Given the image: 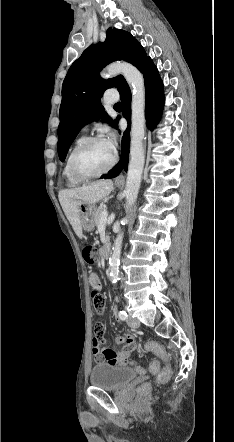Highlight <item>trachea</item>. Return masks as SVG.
Wrapping results in <instances>:
<instances>
[{"mask_svg":"<svg viewBox=\"0 0 234 442\" xmlns=\"http://www.w3.org/2000/svg\"><path fill=\"white\" fill-rule=\"evenodd\" d=\"M114 107H116V108L122 107V103H121V102H118V103H116V104L114 105Z\"/></svg>","mask_w":234,"mask_h":442,"instance_id":"1","label":"trachea"}]
</instances>
